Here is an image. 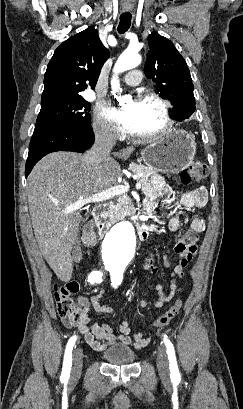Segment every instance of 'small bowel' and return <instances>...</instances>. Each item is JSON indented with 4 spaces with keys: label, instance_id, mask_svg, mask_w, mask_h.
Here are the masks:
<instances>
[{
    "label": "small bowel",
    "instance_id": "small-bowel-1",
    "mask_svg": "<svg viewBox=\"0 0 243 409\" xmlns=\"http://www.w3.org/2000/svg\"><path fill=\"white\" fill-rule=\"evenodd\" d=\"M146 193V200L144 207L147 211L155 208H163L170 202L169 195L171 189L165 182L155 177L144 188ZM207 201V190L200 186L196 189L185 191L179 198L180 206L184 208H198L205 205ZM168 228L170 231H178L180 228V221L178 218L173 217L168 221ZM205 230V223L200 217H193L189 223L186 233L177 241L174 250L179 256L177 265L171 268L169 261L164 257V266L171 269L169 292H164L162 284H157L154 287L156 293V299L154 301L149 299H142L139 303L141 308H148L155 306L160 308L169 302L177 293L181 291V288L177 285L176 277L183 278L185 276V268L192 260L197 252V241L199 234ZM143 268L157 273L158 268L153 264V256L149 255L144 263ZM145 294V292H142ZM105 296V291L100 290L94 294L90 299L79 296L77 297V303L82 307L83 316L82 321L77 325L78 330L85 337L86 342L95 351H102L108 346L122 343L124 345L131 346L135 349H142L148 346L151 342V337L143 332H136L131 335V329L126 321H120L117 324L119 334H115L112 327L106 323L96 322L90 323V314L92 311L100 315H111L113 309L102 303Z\"/></svg>",
    "mask_w": 243,
    "mask_h": 409
}]
</instances>
